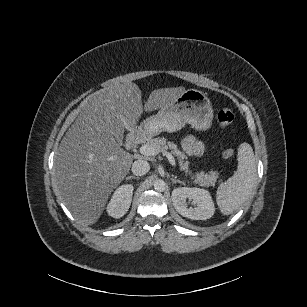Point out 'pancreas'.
Listing matches in <instances>:
<instances>
[{
	"instance_id": "pancreas-1",
	"label": "pancreas",
	"mask_w": 307,
	"mask_h": 307,
	"mask_svg": "<svg viewBox=\"0 0 307 307\" xmlns=\"http://www.w3.org/2000/svg\"><path fill=\"white\" fill-rule=\"evenodd\" d=\"M145 145L152 146L155 148L157 153L165 152L168 148L171 149L173 155H175L179 160L180 170H184L186 173L191 174L188 170L189 162L184 161L187 158L184 152L180 151L177 148V145L173 142L166 140L164 137H157L148 140ZM219 177V173L217 171H209V173H205L201 171L196 173L195 176H192L194 179V183L199 184L203 187L215 186V183Z\"/></svg>"
}]
</instances>
